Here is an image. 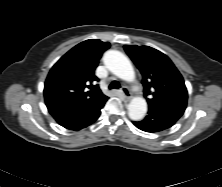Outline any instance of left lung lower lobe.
Masks as SVG:
<instances>
[{
    "instance_id": "left-lung-lower-lobe-1",
    "label": "left lung lower lobe",
    "mask_w": 222,
    "mask_h": 187,
    "mask_svg": "<svg viewBox=\"0 0 222 187\" xmlns=\"http://www.w3.org/2000/svg\"><path fill=\"white\" fill-rule=\"evenodd\" d=\"M185 109L186 106L175 104L149 106L148 115L133 124L145 132H160L173 126Z\"/></svg>"
}]
</instances>
